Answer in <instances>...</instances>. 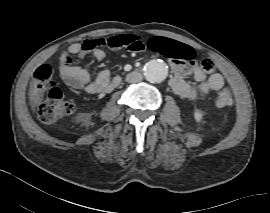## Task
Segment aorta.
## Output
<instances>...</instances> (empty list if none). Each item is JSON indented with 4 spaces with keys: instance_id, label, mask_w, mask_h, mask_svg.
<instances>
[{
    "instance_id": "obj_1",
    "label": "aorta",
    "mask_w": 270,
    "mask_h": 213,
    "mask_svg": "<svg viewBox=\"0 0 270 213\" xmlns=\"http://www.w3.org/2000/svg\"><path fill=\"white\" fill-rule=\"evenodd\" d=\"M144 75L151 83H160L167 76V67L161 61H150L144 68Z\"/></svg>"
}]
</instances>
